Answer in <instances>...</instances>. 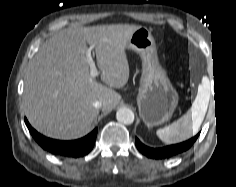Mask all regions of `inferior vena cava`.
I'll list each match as a JSON object with an SVG mask.
<instances>
[{"mask_svg": "<svg viewBox=\"0 0 236 187\" xmlns=\"http://www.w3.org/2000/svg\"><path fill=\"white\" fill-rule=\"evenodd\" d=\"M93 106L95 107V108H101V106H102V103L100 102V101H95L94 103H93Z\"/></svg>", "mask_w": 236, "mask_h": 187, "instance_id": "602c4592", "label": "inferior vena cava"}]
</instances>
